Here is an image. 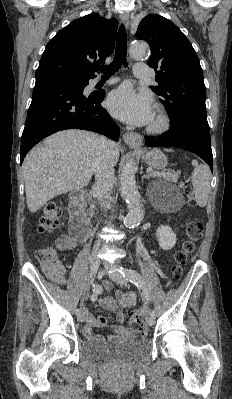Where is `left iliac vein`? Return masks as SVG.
<instances>
[{
  "instance_id": "obj_1",
  "label": "left iliac vein",
  "mask_w": 232,
  "mask_h": 399,
  "mask_svg": "<svg viewBox=\"0 0 232 399\" xmlns=\"http://www.w3.org/2000/svg\"><path fill=\"white\" fill-rule=\"evenodd\" d=\"M98 272H101V269H98ZM106 276L112 279V283H119V285L123 286L127 285V279L119 277L118 274H114L113 272H107ZM147 326L148 327L154 326V320L152 318H149L147 320Z\"/></svg>"
}]
</instances>
